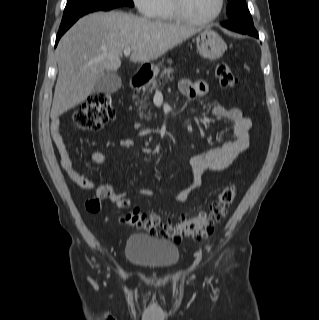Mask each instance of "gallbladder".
<instances>
[{
  "instance_id": "bac80fb5",
  "label": "gallbladder",
  "mask_w": 319,
  "mask_h": 320,
  "mask_svg": "<svg viewBox=\"0 0 319 320\" xmlns=\"http://www.w3.org/2000/svg\"><path fill=\"white\" fill-rule=\"evenodd\" d=\"M121 84L119 75L106 71L96 79L93 91L95 93H114L121 87Z\"/></svg>"
}]
</instances>
